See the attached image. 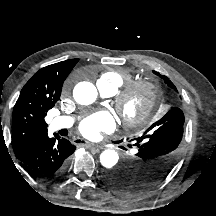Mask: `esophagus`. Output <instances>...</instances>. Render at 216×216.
<instances>
[{
  "label": "esophagus",
  "instance_id": "obj_1",
  "mask_svg": "<svg viewBox=\"0 0 216 216\" xmlns=\"http://www.w3.org/2000/svg\"><path fill=\"white\" fill-rule=\"evenodd\" d=\"M81 145L88 146V147H94V148H97V149H102V146H99L97 144L91 143V142L86 141V140H84L83 142H81Z\"/></svg>",
  "mask_w": 216,
  "mask_h": 216
}]
</instances>
